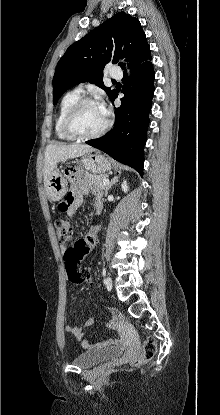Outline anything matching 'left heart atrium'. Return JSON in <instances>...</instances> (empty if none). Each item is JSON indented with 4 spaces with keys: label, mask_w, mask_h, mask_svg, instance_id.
Wrapping results in <instances>:
<instances>
[{
    "label": "left heart atrium",
    "mask_w": 220,
    "mask_h": 415,
    "mask_svg": "<svg viewBox=\"0 0 220 415\" xmlns=\"http://www.w3.org/2000/svg\"><path fill=\"white\" fill-rule=\"evenodd\" d=\"M101 109H102V112L105 115V117H107V114H108L107 109L104 106H102Z\"/></svg>",
    "instance_id": "left-heart-atrium-1"
}]
</instances>
